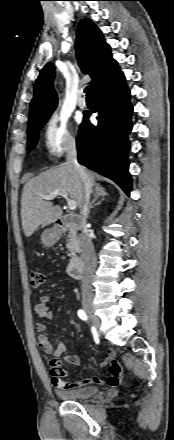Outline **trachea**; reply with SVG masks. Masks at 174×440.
Segmentation results:
<instances>
[{
  "label": "trachea",
  "mask_w": 174,
  "mask_h": 440,
  "mask_svg": "<svg viewBox=\"0 0 174 440\" xmlns=\"http://www.w3.org/2000/svg\"><path fill=\"white\" fill-rule=\"evenodd\" d=\"M84 92L86 93V97L87 98H92L93 97L91 86H87L85 88Z\"/></svg>",
  "instance_id": "trachea-1"
}]
</instances>
